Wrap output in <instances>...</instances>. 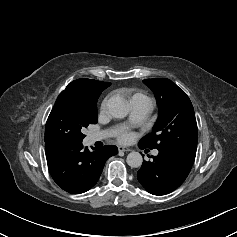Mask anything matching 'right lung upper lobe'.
<instances>
[{
	"label": "right lung upper lobe",
	"instance_id": "1",
	"mask_svg": "<svg viewBox=\"0 0 237 237\" xmlns=\"http://www.w3.org/2000/svg\"><path fill=\"white\" fill-rule=\"evenodd\" d=\"M109 86V82L81 78L68 84L65 91L82 96L89 101H95L98 100L101 92Z\"/></svg>",
	"mask_w": 237,
	"mask_h": 237
}]
</instances>
